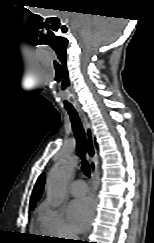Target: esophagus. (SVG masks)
<instances>
[{"instance_id": "34e87169", "label": "esophagus", "mask_w": 154, "mask_h": 243, "mask_svg": "<svg viewBox=\"0 0 154 243\" xmlns=\"http://www.w3.org/2000/svg\"><path fill=\"white\" fill-rule=\"evenodd\" d=\"M82 120L84 122V128L86 133L87 145H86V152L90 163L91 169V179L93 184V196L95 197L97 191V178H98V154L94 143V136L92 132V128L90 123L87 121L86 117L84 116L83 112L79 110ZM95 201H94V211L93 217L95 215Z\"/></svg>"}]
</instances>
